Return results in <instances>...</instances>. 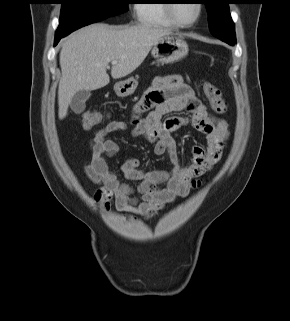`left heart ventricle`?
I'll use <instances>...</instances> for the list:
<instances>
[{"mask_svg": "<svg viewBox=\"0 0 290 321\" xmlns=\"http://www.w3.org/2000/svg\"><path fill=\"white\" fill-rule=\"evenodd\" d=\"M175 15L183 22H190L197 15V5L195 1L183 0L175 4Z\"/></svg>", "mask_w": 290, "mask_h": 321, "instance_id": "left-heart-ventricle-1", "label": "left heart ventricle"}]
</instances>
